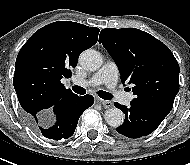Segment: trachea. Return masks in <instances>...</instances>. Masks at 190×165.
Returning <instances> with one entry per match:
<instances>
[{
  "mask_svg": "<svg viewBox=\"0 0 190 165\" xmlns=\"http://www.w3.org/2000/svg\"><path fill=\"white\" fill-rule=\"evenodd\" d=\"M72 89L75 93L80 94V95H84L86 93V89L77 85L72 86ZM97 94L99 95V97L105 100H111L113 98L111 93L105 92L103 90H99Z\"/></svg>",
  "mask_w": 190,
  "mask_h": 165,
  "instance_id": "obj_1",
  "label": "trachea"
}]
</instances>
